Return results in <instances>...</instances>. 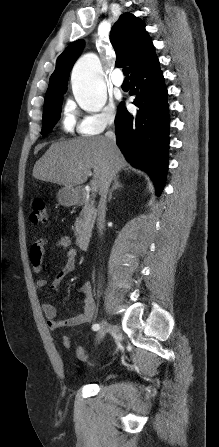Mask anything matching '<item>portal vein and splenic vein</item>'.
<instances>
[{"instance_id":"portal-vein-and-splenic-vein-1","label":"portal vein and splenic vein","mask_w":219,"mask_h":447,"mask_svg":"<svg viewBox=\"0 0 219 447\" xmlns=\"http://www.w3.org/2000/svg\"><path fill=\"white\" fill-rule=\"evenodd\" d=\"M91 191L92 192H96L97 191V185H96V181H91Z\"/></svg>"}]
</instances>
